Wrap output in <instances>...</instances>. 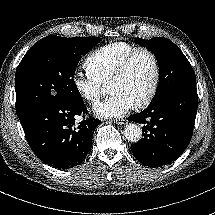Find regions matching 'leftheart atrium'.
Masks as SVG:
<instances>
[{
	"label": "left heart atrium",
	"instance_id": "1",
	"mask_svg": "<svg viewBox=\"0 0 215 215\" xmlns=\"http://www.w3.org/2000/svg\"><path fill=\"white\" fill-rule=\"evenodd\" d=\"M133 107L131 100L124 94L112 93L105 101L94 106V113L104 118H120Z\"/></svg>",
	"mask_w": 215,
	"mask_h": 215
}]
</instances>
